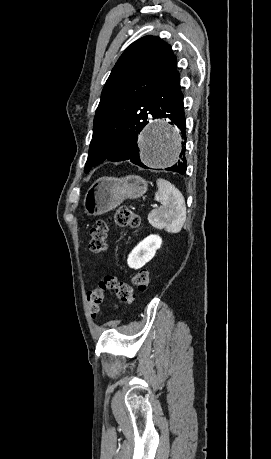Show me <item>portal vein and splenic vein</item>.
Here are the masks:
<instances>
[{
    "label": "portal vein and splenic vein",
    "mask_w": 271,
    "mask_h": 459,
    "mask_svg": "<svg viewBox=\"0 0 271 459\" xmlns=\"http://www.w3.org/2000/svg\"><path fill=\"white\" fill-rule=\"evenodd\" d=\"M152 206H153L152 208L154 209V208H155V207H154L155 205L153 204Z\"/></svg>",
    "instance_id": "1"
}]
</instances>
